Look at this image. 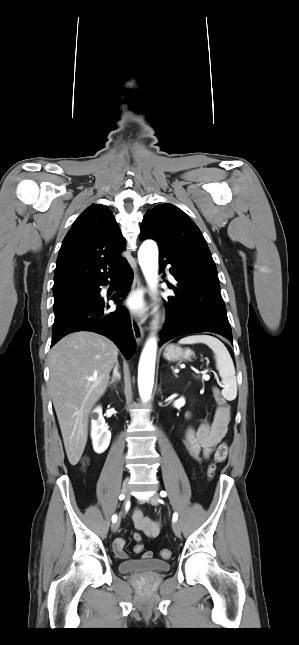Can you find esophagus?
<instances>
[{"mask_svg": "<svg viewBox=\"0 0 299 645\" xmlns=\"http://www.w3.org/2000/svg\"><path fill=\"white\" fill-rule=\"evenodd\" d=\"M142 287H143V284L139 277L138 271L135 270L133 284H132V292L138 291ZM130 318H131V325H132L134 338L139 343L144 336L143 328L141 326L139 318L134 312H131Z\"/></svg>", "mask_w": 299, "mask_h": 645, "instance_id": "obj_1", "label": "esophagus"}]
</instances>
